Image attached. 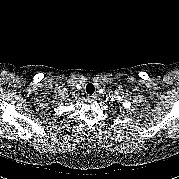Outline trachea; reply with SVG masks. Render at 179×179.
Returning <instances> with one entry per match:
<instances>
[{
  "mask_svg": "<svg viewBox=\"0 0 179 179\" xmlns=\"http://www.w3.org/2000/svg\"><path fill=\"white\" fill-rule=\"evenodd\" d=\"M95 91V87L92 83H88L86 86V92L90 95H92Z\"/></svg>",
  "mask_w": 179,
  "mask_h": 179,
  "instance_id": "3493384b",
  "label": "trachea"
}]
</instances>
